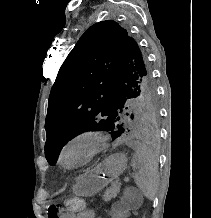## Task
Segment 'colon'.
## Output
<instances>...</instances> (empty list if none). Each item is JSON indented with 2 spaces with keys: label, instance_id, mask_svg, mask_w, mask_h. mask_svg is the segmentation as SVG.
Listing matches in <instances>:
<instances>
[{
  "label": "colon",
  "instance_id": "1",
  "mask_svg": "<svg viewBox=\"0 0 211 218\" xmlns=\"http://www.w3.org/2000/svg\"><path fill=\"white\" fill-rule=\"evenodd\" d=\"M83 207V201L79 198H69L66 200V208L70 213L78 212L82 210Z\"/></svg>",
  "mask_w": 211,
  "mask_h": 218
}]
</instances>
